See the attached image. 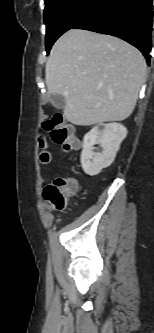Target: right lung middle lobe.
<instances>
[{
    "label": "right lung middle lobe",
    "mask_w": 154,
    "mask_h": 333,
    "mask_svg": "<svg viewBox=\"0 0 154 333\" xmlns=\"http://www.w3.org/2000/svg\"><path fill=\"white\" fill-rule=\"evenodd\" d=\"M44 22L46 31V51L66 31L79 22L98 0H44Z\"/></svg>",
    "instance_id": "dd1d6c3e"
}]
</instances>
